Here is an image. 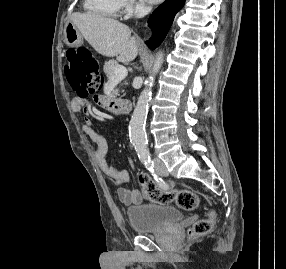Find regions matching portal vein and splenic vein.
<instances>
[{"instance_id": "obj_1", "label": "portal vein and splenic vein", "mask_w": 286, "mask_h": 269, "mask_svg": "<svg viewBox=\"0 0 286 269\" xmlns=\"http://www.w3.org/2000/svg\"><path fill=\"white\" fill-rule=\"evenodd\" d=\"M127 75V69L124 66H116L114 76L110 79L112 81H119L125 78Z\"/></svg>"}]
</instances>
